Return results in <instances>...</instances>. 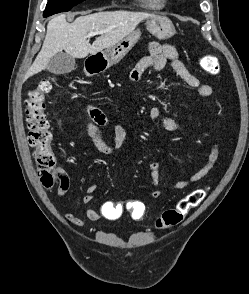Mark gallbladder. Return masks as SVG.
Masks as SVG:
<instances>
[{"label": "gallbladder", "mask_w": 249, "mask_h": 294, "mask_svg": "<svg viewBox=\"0 0 249 294\" xmlns=\"http://www.w3.org/2000/svg\"><path fill=\"white\" fill-rule=\"evenodd\" d=\"M75 59L66 52H58L48 62L47 69L53 74H65L75 69Z\"/></svg>", "instance_id": "gallbladder-1"}]
</instances>
